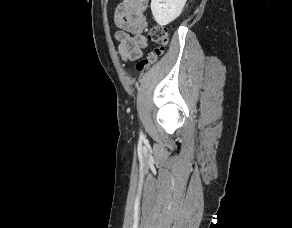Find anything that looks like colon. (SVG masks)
<instances>
[{
  "label": "colon",
  "mask_w": 292,
  "mask_h": 228,
  "mask_svg": "<svg viewBox=\"0 0 292 228\" xmlns=\"http://www.w3.org/2000/svg\"><path fill=\"white\" fill-rule=\"evenodd\" d=\"M148 39L155 44V48L144 59L138 62L137 69L143 71L150 67L164 53L169 40L168 30L163 26H154L147 33Z\"/></svg>",
  "instance_id": "5ec220e1"
}]
</instances>
